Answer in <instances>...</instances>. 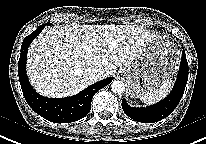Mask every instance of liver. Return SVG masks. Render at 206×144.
<instances>
[{
  "label": "liver",
  "mask_w": 206,
  "mask_h": 144,
  "mask_svg": "<svg viewBox=\"0 0 206 144\" xmlns=\"http://www.w3.org/2000/svg\"><path fill=\"white\" fill-rule=\"evenodd\" d=\"M151 35L143 27L128 25H79L45 29L27 55V74L41 95L61 98L79 93L94 81L90 67L102 69V78L118 67L130 65Z\"/></svg>",
  "instance_id": "6515ba94"
}]
</instances>
